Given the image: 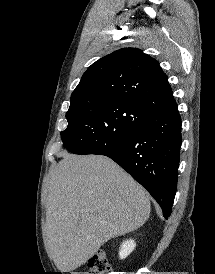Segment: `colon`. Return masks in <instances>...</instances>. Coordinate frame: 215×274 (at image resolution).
<instances>
[{
  "mask_svg": "<svg viewBox=\"0 0 215 274\" xmlns=\"http://www.w3.org/2000/svg\"><path fill=\"white\" fill-rule=\"evenodd\" d=\"M110 265L104 251H98L89 261L88 271L76 274H109Z\"/></svg>",
  "mask_w": 215,
  "mask_h": 274,
  "instance_id": "colon-1",
  "label": "colon"
}]
</instances>
